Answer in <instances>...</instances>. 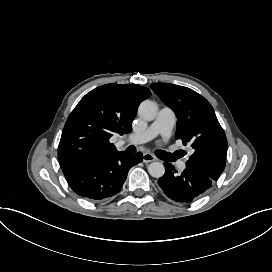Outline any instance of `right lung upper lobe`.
<instances>
[{
    "label": "right lung upper lobe",
    "mask_w": 272,
    "mask_h": 272,
    "mask_svg": "<svg viewBox=\"0 0 272 272\" xmlns=\"http://www.w3.org/2000/svg\"><path fill=\"white\" fill-rule=\"evenodd\" d=\"M151 95L135 84H106L86 94L69 115L58 147L61 168L116 154L113 133L131 132L139 104Z\"/></svg>",
    "instance_id": "cb5924a9"
}]
</instances>
